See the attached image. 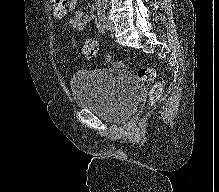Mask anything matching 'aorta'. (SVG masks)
<instances>
[{
  "mask_svg": "<svg viewBox=\"0 0 219 192\" xmlns=\"http://www.w3.org/2000/svg\"><path fill=\"white\" fill-rule=\"evenodd\" d=\"M108 2V0H96V3L98 5H105Z\"/></svg>",
  "mask_w": 219,
  "mask_h": 192,
  "instance_id": "obj_1",
  "label": "aorta"
}]
</instances>
